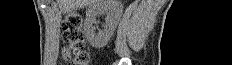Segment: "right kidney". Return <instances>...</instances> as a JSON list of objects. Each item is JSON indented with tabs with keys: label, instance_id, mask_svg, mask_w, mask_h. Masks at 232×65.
<instances>
[{
	"label": "right kidney",
	"instance_id": "obj_1",
	"mask_svg": "<svg viewBox=\"0 0 232 65\" xmlns=\"http://www.w3.org/2000/svg\"><path fill=\"white\" fill-rule=\"evenodd\" d=\"M123 13V4L120 0H97L86 11L84 35L95 48L104 47L111 39ZM107 14L104 29L98 34L93 26L96 16Z\"/></svg>",
	"mask_w": 232,
	"mask_h": 65
}]
</instances>
